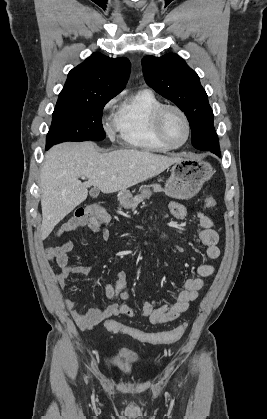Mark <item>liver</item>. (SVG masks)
<instances>
[{
	"label": "liver",
	"mask_w": 267,
	"mask_h": 419,
	"mask_svg": "<svg viewBox=\"0 0 267 419\" xmlns=\"http://www.w3.org/2000/svg\"><path fill=\"white\" fill-rule=\"evenodd\" d=\"M180 159L136 149L101 154L92 142L52 147L45 154L40 170L42 239L86 200L88 187L95 186L104 194L126 190L160 174ZM79 177L88 181L82 183Z\"/></svg>",
	"instance_id": "obj_1"
}]
</instances>
